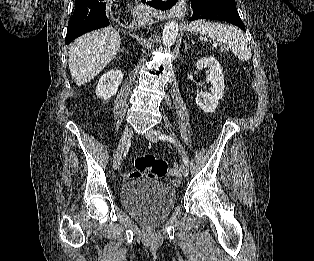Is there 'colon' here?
<instances>
[{
    "label": "colon",
    "mask_w": 314,
    "mask_h": 261,
    "mask_svg": "<svg viewBox=\"0 0 314 261\" xmlns=\"http://www.w3.org/2000/svg\"><path fill=\"white\" fill-rule=\"evenodd\" d=\"M177 167L169 169L165 160L156 158L153 155L145 154L135 159V171L129 173L131 178L147 177L150 179L164 178L169 174L178 176Z\"/></svg>",
    "instance_id": "1"
}]
</instances>
